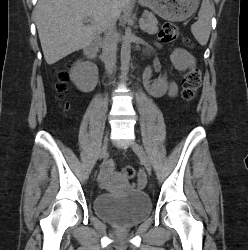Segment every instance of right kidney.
<instances>
[{
    "label": "right kidney",
    "instance_id": "ca27d5eb",
    "mask_svg": "<svg viewBox=\"0 0 248 250\" xmlns=\"http://www.w3.org/2000/svg\"><path fill=\"white\" fill-rule=\"evenodd\" d=\"M70 79L80 91L91 92L98 82V68L94 64L78 61L70 71Z\"/></svg>",
    "mask_w": 248,
    "mask_h": 250
}]
</instances>
